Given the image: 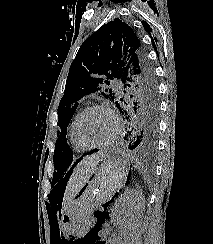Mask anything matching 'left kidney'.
Wrapping results in <instances>:
<instances>
[{
    "instance_id": "1",
    "label": "left kidney",
    "mask_w": 213,
    "mask_h": 244,
    "mask_svg": "<svg viewBox=\"0 0 213 244\" xmlns=\"http://www.w3.org/2000/svg\"><path fill=\"white\" fill-rule=\"evenodd\" d=\"M143 202L144 196L142 193L129 190L114 204L111 210V218L122 229L120 236L117 238V244H132L131 241L139 226L140 209Z\"/></svg>"
}]
</instances>
